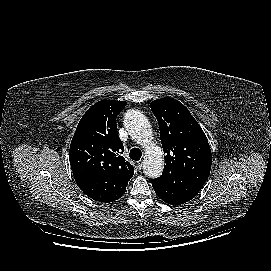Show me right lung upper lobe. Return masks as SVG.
Segmentation results:
<instances>
[{"mask_svg":"<svg viewBox=\"0 0 271 271\" xmlns=\"http://www.w3.org/2000/svg\"><path fill=\"white\" fill-rule=\"evenodd\" d=\"M125 105L126 101L102 100L86 111L70 145L73 174H97L128 184L134 168L121 156L124 147L116 124V117Z\"/></svg>","mask_w":271,"mask_h":271,"instance_id":"obj_1","label":"right lung upper lobe"}]
</instances>
